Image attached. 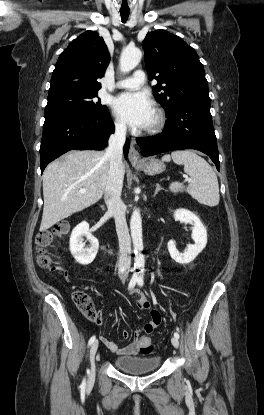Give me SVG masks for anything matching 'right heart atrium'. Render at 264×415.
Returning a JSON list of instances; mask_svg holds the SVG:
<instances>
[{"instance_id":"obj_1","label":"right heart atrium","mask_w":264,"mask_h":415,"mask_svg":"<svg viewBox=\"0 0 264 415\" xmlns=\"http://www.w3.org/2000/svg\"><path fill=\"white\" fill-rule=\"evenodd\" d=\"M115 128L117 131L122 132V133L125 132L127 129L125 123L120 119H116Z\"/></svg>"}]
</instances>
